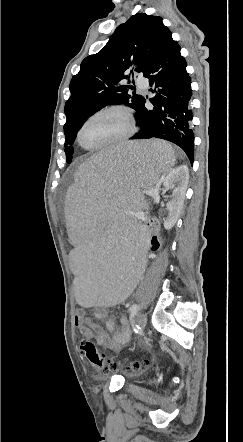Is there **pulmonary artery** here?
Here are the masks:
<instances>
[{
	"label": "pulmonary artery",
	"mask_w": 243,
	"mask_h": 442,
	"mask_svg": "<svg viewBox=\"0 0 243 442\" xmlns=\"http://www.w3.org/2000/svg\"><path fill=\"white\" fill-rule=\"evenodd\" d=\"M136 84H137L138 89L141 91H145L148 89V82L145 80L139 79V80H137Z\"/></svg>",
	"instance_id": "1"
}]
</instances>
